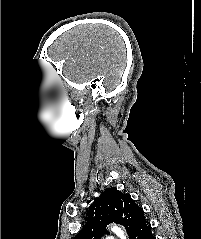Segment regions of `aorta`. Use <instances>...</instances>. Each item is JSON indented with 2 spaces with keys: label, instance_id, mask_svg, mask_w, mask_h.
Listing matches in <instances>:
<instances>
[{
  "label": "aorta",
  "instance_id": "aorta-1",
  "mask_svg": "<svg viewBox=\"0 0 201 239\" xmlns=\"http://www.w3.org/2000/svg\"><path fill=\"white\" fill-rule=\"evenodd\" d=\"M111 230L120 238V239H126V235L123 232V230L121 228H119L118 226H113L111 227Z\"/></svg>",
  "mask_w": 201,
  "mask_h": 239
}]
</instances>
